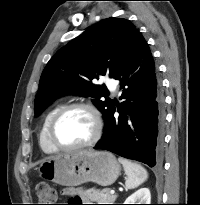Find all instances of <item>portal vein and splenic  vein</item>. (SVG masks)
Masks as SVG:
<instances>
[{
  "mask_svg": "<svg viewBox=\"0 0 200 205\" xmlns=\"http://www.w3.org/2000/svg\"><path fill=\"white\" fill-rule=\"evenodd\" d=\"M110 193H111V194H114V193H115V190H114V189L110 190Z\"/></svg>",
  "mask_w": 200,
  "mask_h": 205,
  "instance_id": "obj_1",
  "label": "portal vein and splenic vein"
}]
</instances>
